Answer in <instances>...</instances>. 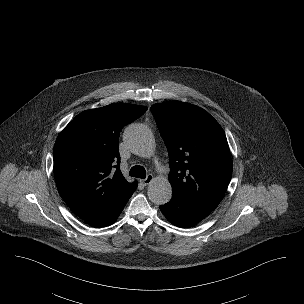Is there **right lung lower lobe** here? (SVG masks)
Here are the masks:
<instances>
[{"label": "right lung lower lobe", "instance_id": "obj_1", "mask_svg": "<svg viewBox=\"0 0 304 304\" xmlns=\"http://www.w3.org/2000/svg\"><path fill=\"white\" fill-rule=\"evenodd\" d=\"M136 188L137 184H135L134 187H132V189L128 191L105 215L92 224L98 227H104L114 223Z\"/></svg>", "mask_w": 304, "mask_h": 304}]
</instances>
